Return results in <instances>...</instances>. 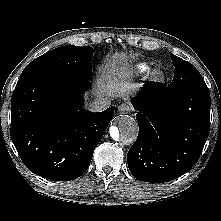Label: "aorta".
Masks as SVG:
<instances>
[{"label": "aorta", "mask_w": 221, "mask_h": 221, "mask_svg": "<svg viewBox=\"0 0 221 221\" xmlns=\"http://www.w3.org/2000/svg\"><path fill=\"white\" fill-rule=\"evenodd\" d=\"M109 132L113 140L130 144L137 138L138 124L131 116L122 115L115 120Z\"/></svg>", "instance_id": "1"}]
</instances>
